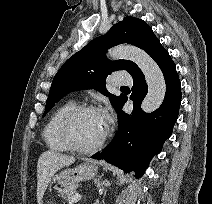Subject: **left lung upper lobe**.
Wrapping results in <instances>:
<instances>
[{"instance_id": "5c2ea615", "label": "left lung upper lobe", "mask_w": 212, "mask_h": 204, "mask_svg": "<svg viewBox=\"0 0 212 204\" xmlns=\"http://www.w3.org/2000/svg\"><path fill=\"white\" fill-rule=\"evenodd\" d=\"M122 43L142 48L152 58L164 49L152 29L143 20L125 17L105 35L93 39L62 65L53 79L43 115L69 92L89 88L108 96L117 110L126 96L118 97L109 93L105 87V79L117 70H126L131 76L140 72L139 67L132 61H109L105 57L106 49Z\"/></svg>"}]
</instances>
